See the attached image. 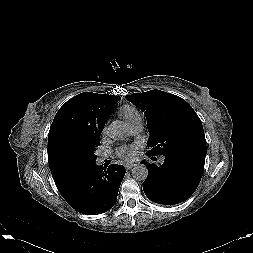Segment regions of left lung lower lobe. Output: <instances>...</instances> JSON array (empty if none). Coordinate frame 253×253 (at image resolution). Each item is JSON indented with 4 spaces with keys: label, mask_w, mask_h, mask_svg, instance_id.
I'll list each match as a JSON object with an SVG mask.
<instances>
[{
    "label": "left lung lower lobe",
    "mask_w": 253,
    "mask_h": 253,
    "mask_svg": "<svg viewBox=\"0 0 253 253\" xmlns=\"http://www.w3.org/2000/svg\"><path fill=\"white\" fill-rule=\"evenodd\" d=\"M152 160H156L155 155ZM206 152L184 149L163 154L162 164L143 162L148 177L143 183L151 201L173 205L187 200L196 190L203 175Z\"/></svg>",
    "instance_id": "obj_1"
}]
</instances>
